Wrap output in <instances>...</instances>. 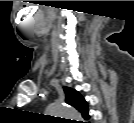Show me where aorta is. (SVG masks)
<instances>
[{"mask_svg":"<svg viewBox=\"0 0 134 123\" xmlns=\"http://www.w3.org/2000/svg\"><path fill=\"white\" fill-rule=\"evenodd\" d=\"M46 113L49 114L50 116L61 117V118H66L71 120H76L81 118L77 110H75L70 106L61 105V104L49 105L46 109Z\"/></svg>","mask_w":134,"mask_h":123,"instance_id":"obj_1","label":"aorta"}]
</instances>
